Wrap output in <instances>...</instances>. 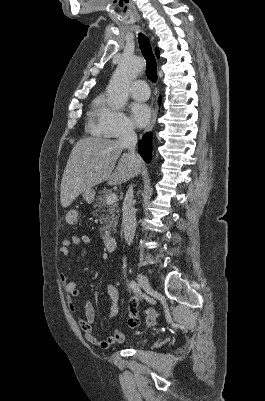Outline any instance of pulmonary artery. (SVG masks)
Listing matches in <instances>:
<instances>
[{
  "instance_id": "e3ab8cb5",
  "label": "pulmonary artery",
  "mask_w": 265,
  "mask_h": 401,
  "mask_svg": "<svg viewBox=\"0 0 265 401\" xmlns=\"http://www.w3.org/2000/svg\"><path fill=\"white\" fill-rule=\"evenodd\" d=\"M132 87L135 90L131 91V96L135 101H145L149 99L150 93L148 92V82L145 78H140V70L135 73Z\"/></svg>"
}]
</instances>
